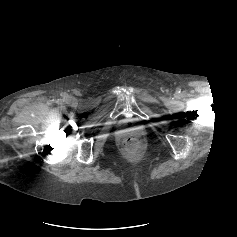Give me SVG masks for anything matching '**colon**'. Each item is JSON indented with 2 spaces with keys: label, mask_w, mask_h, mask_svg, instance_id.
Returning <instances> with one entry per match:
<instances>
[{
  "label": "colon",
  "mask_w": 237,
  "mask_h": 237,
  "mask_svg": "<svg viewBox=\"0 0 237 237\" xmlns=\"http://www.w3.org/2000/svg\"><path fill=\"white\" fill-rule=\"evenodd\" d=\"M123 149L130 155H138L144 150V143L136 134L128 135L123 140Z\"/></svg>",
  "instance_id": "1"
}]
</instances>
